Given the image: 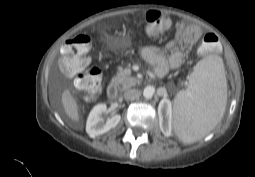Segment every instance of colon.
<instances>
[{"label": "colon", "mask_w": 255, "mask_h": 177, "mask_svg": "<svg viewBox=\"0 0 255 177\" xmlns=\"http://www.w3.org/2000/svg\"><path fill=\"white\" fill-rule=\"evenodd\" d=\"M146 32L151 37H159L170 30L171 18L159 11L150 10L145 15ZM218 42V37L212 33L206 34L201 42V50L212 51ZM91 38L81 34L65 42L61 49L60 68L69 77H74V84L93 98L101 87V71L90 66L89 50Z\"/></svg>", "instance_id": "obj_1"}]
</instances>
